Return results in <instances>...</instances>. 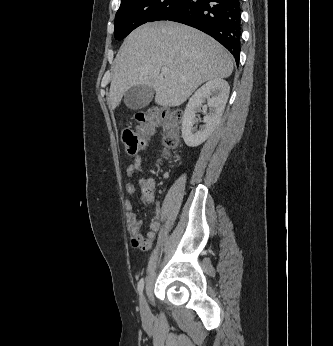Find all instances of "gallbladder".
I'll use <instances>...</instances> for the list:
<instances>
[{
    "instance_id": "gallbladder-1",
    "label": "gallbladder",
    "mask_w": 333,
    "mask_h": 346,
    "mask_svg": "<svg viewBox=\"0 0 333 346\" xmlns=\"http://www.w3.org/2000/svg\"><path fill=\"white\" fill-rule=\"evenodd\" d=\"M155 90L148 85H136L124 93V103L132 110L146 107L153 99Z\"/></svg>"
}]
</instances>
